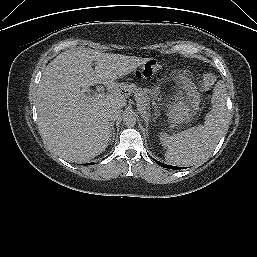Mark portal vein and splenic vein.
<instances>
[{
	"label": "portal vein and splenic vein",
	"instance_id": "portal-vein-and-splenic-vein-1",
	"mask_svg": "<svg viewBox=\"0 0 257 257\" xmlns=\"http://www.w3.org/2000/svg\"><path fill=\"white\" fill-rule=\"evenodd\" d=\"M104 97V93H98V94H95V95H93V96H90V97H88L89 99H94V100H96V99H100V98H103ZM144 109L143 108H141V111H143Z\"/></svg>",
	"mask_w": 257,
	"mask_h": 257
}]
</instances>
